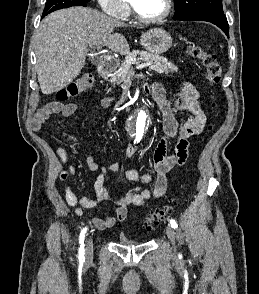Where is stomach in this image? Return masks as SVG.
Listing matches in <instances>:
<instances>
[{
	"label": "stomach",
	"instance_id": "1",
	"mask_svg": "<svg viewBox=\"0 0 259 294\" xmlns=\"http://www.w3.org/2000/svg\"><path fill=\"white\" fill-rule=\"evenodd\" d=\"M140 43L149 53L159 55L171 48L172 38L164 29L153 28L141 35Z\"/></svg>",
	"mask_w": 259,
	"mask_h": 294
}]
</instances>
